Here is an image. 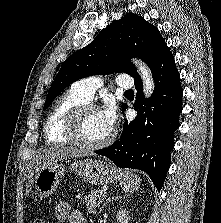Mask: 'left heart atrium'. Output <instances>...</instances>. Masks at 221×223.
Segmentation results:
<instances>
[{"instance_id": "1", "label": "left heart atrium", "mask_w": 221, "mask_h": 223, "mask_svg": "<svg viewBox=\"0 0 221 223\" xmlns=\"http://www.w3.org/2000/svg\"><path fill=\"white\" fill-rule=\"evenodd\" d=\"M100 113L105 124L108 126L109 129L112 130L117 118L115 105L113 103H109L104 109L100 111Z\"/></svg>"}]
</instances>
